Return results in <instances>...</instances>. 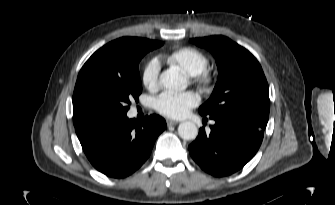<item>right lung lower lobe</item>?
<instances>
[{
	"instance_id": "98d812e1",
	"label": "right lung lower lobe",
	"mask_w": 335,
	"mask_h": 205,
	"mask_svg": "<svg viewBox=\"0 0 335 205\" xmlns=\"http://www.w3.org/2000/svg\"><path fill=\"white\" fill-rule=\"evenodd\" d=\"M166 128L159 115L142 122L127 115L75 126L83 151L103 174L124 178L135 172L149 157L153 145Z\"/></svg>"
}]
</instances>
